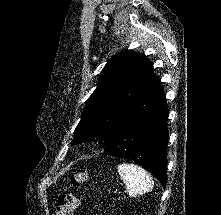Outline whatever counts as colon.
<instances>
[{
  "label": "colon",
  "mask_w": 221,
  "mask_h": 215,
  "mask_svg": "<svg viewBox=\"0 0 221 215\" xmlns=\"http://www.w3.org/2000/svg\"><path fill=\"white\" fill-rule=\"evenodd\" d=\"M86 180V172L79 170L71 176V184L80 186ZM78 206V199L72 192H65L59 195L55 215H73Z\"/></svg>",
  "instance_id": "5ec220e1"
}]
</instances>
